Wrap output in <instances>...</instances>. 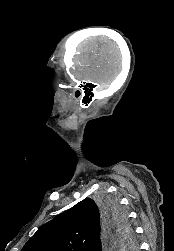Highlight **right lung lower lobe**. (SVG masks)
Returning a JSON list of instances; mask_svg holds the SVG:
<instances>
[{"mask_svg":"<svg viewBox=\"0 0 174 251\" xmlns=\"http://www.w3.org/2000/svg\"><path fill=\"white\" fill-rule=\"evenodd\" d=\"M103 228H104V233H103V237L101 239V245H102V248H105L110 244V241L112 240V234L114 232V227L112 225H110L104 219ZM102 251H104V250H102Z\"/></svg>","mask_w":174,"mask_h":251,"instance_id":"98d812e1","label":"right lung lower lobe"}]
</instances>
